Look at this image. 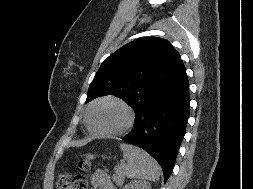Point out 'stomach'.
Listing matches in <instances>:
<instances>
[{
    "label": "stomach",
    "instance_id": "1",
    "mask_svg": "<svg viewBox=\"0 0 253 189\" xmlns=\"http://www.w3.org/2000/svg\"><path fill=\"white\" fill-rule=\"evenodd\" d=\"M87 158H88V159H93L94 156H93V155H88Z\"/></svg>",
    "mask_w": 253,
    "mask_h": 189
}]
</instances>
